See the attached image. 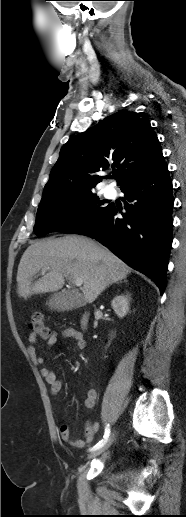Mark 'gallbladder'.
<instances>
[{"instance_id": "1", "label": "gallbladder", "mask_w": 186, "mask_h": 517, "mask_svg": "<svg viewBox=\"0 0 186 517\" xmlns=\"http://www.w3.org/2000/svg\"><path fill=\"white\" fill-rule=\"evenodd\" d=\"M82 303L83 300L81 298L76 297V295L71 291H62L59 293H55L48 301V305L52 309L60 311L80 306Z\"/></svg>"}]
</instances>
